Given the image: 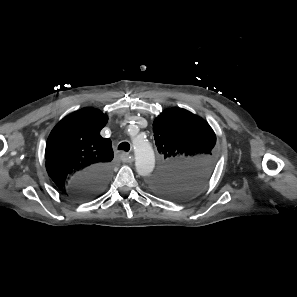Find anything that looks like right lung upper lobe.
I'll use <instances>...</instances> for the list:
<instances>
[{
	"label": "right lung upper lobe",
	"instance_id": "1",
	"mask_svg": "<svg viewBox=\"0 0 297 297\" xmlns=\"http://www.w3.org/2000/svg\"><path fill=\"white\" fill-rule=\"evenodd\" d=\"M108 116L94 108H83L60 121L46 144V169L63 192L75 175L98 166L110 167L111 140L100 135Z\"/></svg>",
	"mask_w": 297,
	"mask_h": 297
}]
</instances>
